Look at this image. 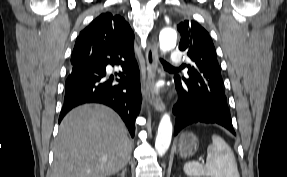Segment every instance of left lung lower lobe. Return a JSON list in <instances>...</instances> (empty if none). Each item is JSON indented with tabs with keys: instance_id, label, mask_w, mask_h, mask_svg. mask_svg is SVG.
I'll return each mask as SVG.
<instances>
[{
	"instance_id": "0a47b994",
	"label": "left lung lower lobe",
	"mask_w": 287,
	"mask_h": 177,
	"mask_svg": "<svg viewBox=\"0 0 287 177\" xmlns=\"http://www.w3.org/2000/svg\"><path fill=\"white\" fill-rule=\"evenodd\" d=\"M178 102L174 106L176 116L175 135L185 126L196 123H218L235 135L223 90L212 87L202 92L198 86L175 78Z\"/></svg>"
}]
</instances>
